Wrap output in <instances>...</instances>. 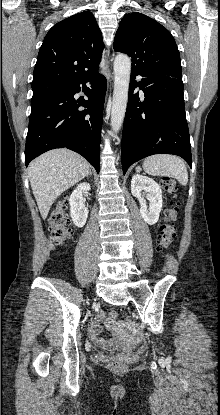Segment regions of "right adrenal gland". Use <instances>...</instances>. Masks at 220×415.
Listing matches in <instances>:
<instances>
[{
    "label": "right adrenal gland",
    "mask_w": 220,
    "mask_h": 415,
    "mask_svg": "<svg viewBox=\"0 0 220 415\" xmlns=\"http://www.w3.org/2000/svg\"><path fill=\"white\" fill-rule=\"evenodd\" d=\"M88 175H90V176L92 175L91 171L89 172V174H88ZM88 175H87V176H88Z\"/></svg>",
    "instance_id": "right-adrenal-gland-1"
}]
</instances>
